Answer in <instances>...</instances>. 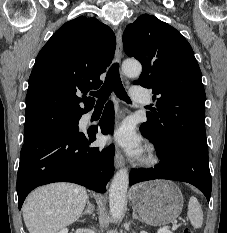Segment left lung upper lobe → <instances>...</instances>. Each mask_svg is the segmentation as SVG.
<instances>
[{
    "instance_id": "obj_1",
    "label": "left lung upper lobe",
    "mask_w": 227,
    "mask_h": 233,
    "mask_svg": "<svg viewBox=\"0 0 227 233\" xmlns=\"http://www.w3.org/2000/svg\"><path fill=\"white\" fill-rule=\"evenodd\" d=\"M126 54L143 66L134 84L151 89L156 108L140 127L160 151L177 142L207 150L205 90L188 41L169 24L144 14L123 33Z\"/></svg>"
}]
</instances>
